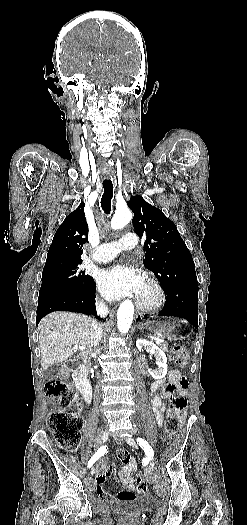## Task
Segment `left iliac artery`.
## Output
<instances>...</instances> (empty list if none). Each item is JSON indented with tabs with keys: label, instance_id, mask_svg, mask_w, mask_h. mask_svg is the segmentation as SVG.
<instances>
[{
	"label": "left iliac artery",
	"instance_id": "1",
	"mask_svg": "<svg viewBox=\"0 0 247 525\" xmlns=\"http://www.w3.org/2000/svg\"><path fill=\"white\" fill-rule=\"evenodd\" d=\"M136 441H137V444H139V446L144 450L145 454L149 458H153L154 452H153L152 447L149 445V443L142 438H137Z\"/></svg>",
	"mask_w": 247,
	"mask_h": 525
}]
</instances>
